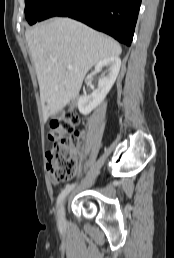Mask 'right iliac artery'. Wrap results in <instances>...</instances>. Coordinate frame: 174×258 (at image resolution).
<instances>
[{
  "instance_id": "1",
  "label": "right iliac artery",
  "mask_w": 174,
  "mask_h": 258,
  "mask_svg": "<svg viewBox=\"0 0 174 258\" xmlns=\"http://www.w3.org/2000/svg\"><path fill=\"white\" fill-rule=\"evenodd\" d=\"M75 184H68L64 190L59 194L58 198H57V208L60 205V203L62 202V200L70 193V191L74 188Z\"/></svg>"
}]
</instances>
